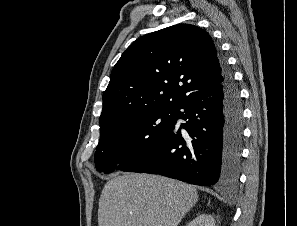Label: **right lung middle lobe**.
<instances>
[{
  "instance_id": "dd1d6c3e",
  "label": "right lung middle lobe",
  "mask_w": 297,
  "mask_h": 226,
  "mask_svg": "<svg viewBox=\"0 0 297 226\" xmlns=\"http://www.w3.org/2000/svg\"><path fill=\"white\" fill-rule=\"evenodd\" d=\"M177 113V110L149 111L102 129L95 152L97 170L108 174L124 168L174 126Z\"/></svg>"
}]
</instances>
